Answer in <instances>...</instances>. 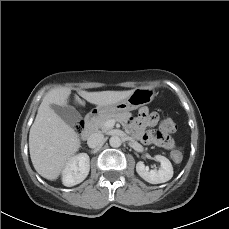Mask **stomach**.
Listing matches in <instances>:
<instances>
[{"instance_id":"1","label":"stomach","mask_w":229,"mask_h":229,"mask_svg":"<svg viewBox=\"0 0 229 229\" xmlns=\"http://www.w3.org/2000/svg\"><path fill=\"white\" fill-rule=\"evenodd\" d=\"M155 97V90L151 87L136 88L126 99L111 105L97 106L95 112L100 116L129 112L140 106L149 104Z\"/></svg>"}]
</instances>
